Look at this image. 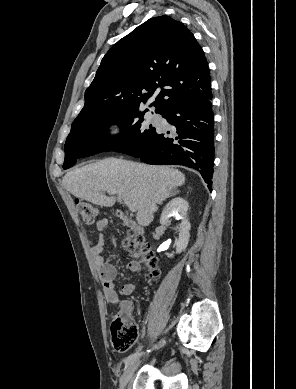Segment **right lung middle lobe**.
Segmentation results:
<instances>
[{
	"label": "right lung middle lobe",
	"mask_w": 296,
	"mask_h": 389,
	"mask_svg": "<svg viewBox=\"0 0 296 389\" xmlns=\"http://www.w3.org/2000/svg\"><path fill=\"white\" fill-rule=\"evenodd\" d=\"M145 112H140L137 107H119L97 110L76 118L65 143L63 168L73 166L77 158L102 151L130 154L144 150L157 132L144 116ZM111 124H118L121 128L114 140H110L105 132Z\"/></svg>",
	"instance_id": "dd1d6c3e"
}]
</instances>
